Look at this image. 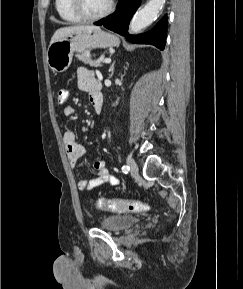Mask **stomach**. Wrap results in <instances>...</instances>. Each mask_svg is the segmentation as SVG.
Here are the masks:
<instances>
[{
  "mask_svg": "<svg viewBox=\"0 0 243 289\" xmlns=\"http://www.w3.org/2000/svg\"><path fill=\"white\" fill-rule=\"evenodd\" d=\"M119 44L120 40L116 35L101 29L77 30L49 45L47 63L54 73H62L69 68L74 52L115 47Z\"/></svg>",
  "mask_w": 243,
  "mask_h": 289,
  "instance_id": "obj_1",
  "label": "stomach"
}]
</instances>
